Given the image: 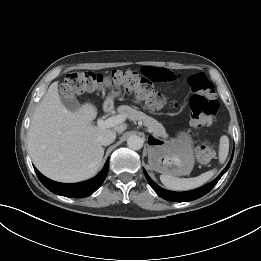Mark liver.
<instances>
[{
  "label": "liver",
  "instance_id": "1",
  "mask_svg": "<svg viewBox=\"0 0 261 261\" xmlns=\"http://www.w3.org/2000/svg\"><path fill=\"white\" fill-rule=\"evenodd\" d=\"M97 108L85 103L77 111L60 100L58 82H53L36 108L28 130V150L36 168L59 182H80L93 177L104 149L99 137L108 130L123 133L127 124L111 128L92 125Z\"/></svg>",
  "mask_w": 261,
  "mask_h": 261
}]
</instances>
